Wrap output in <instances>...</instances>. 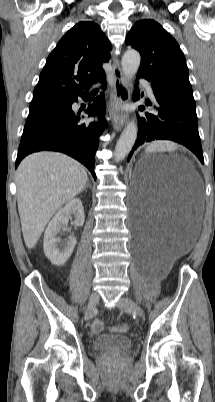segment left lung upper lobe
Listing matches in <instances>:
<instances>
[{"label":"left lung upper lobe","mask_w":215,"mask_h":402,"mask_svg":"<svg viewBox=\"0 0 215 402\" xmlns=\"http://www.w3.org/2000/svg\"><path fill=\"white\" fill-rule=\"evenodd\" d=\"M141 55L138 75L152 87L184 104L195 107L185 57L176 40L156 21H137L126 37Z\"/></svg>","instance_id":"5c2ea615"}]
</instances>
